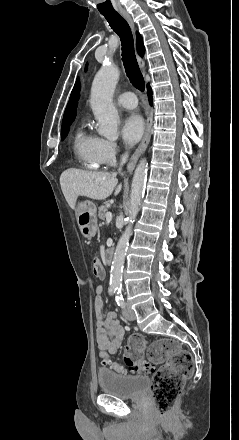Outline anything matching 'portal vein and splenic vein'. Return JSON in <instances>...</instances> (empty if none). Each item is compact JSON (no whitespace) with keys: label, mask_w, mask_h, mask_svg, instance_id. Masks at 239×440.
<instances>
[{"label":"portal vein and splenic vein","mask_w":239,"mask_h":440,"mask_svg":"<svg viewBox=\"0 0 239 440\" xmlns=\"http://www.w3.org/2000/svg\"><path fill=\"white\" fill-rule=\"evenodd\" d=\"M106 220H107V222H111V220H112L111 212H106Z\"/></svg>","instance_id":"portal-vein-and-splenic-vein-1"}]
</instances>
